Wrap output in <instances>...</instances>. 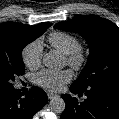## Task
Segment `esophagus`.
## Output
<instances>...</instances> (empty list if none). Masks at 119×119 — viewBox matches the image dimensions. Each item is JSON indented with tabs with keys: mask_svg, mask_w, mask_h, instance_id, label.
I'll return each instance as SVG.
<instances>
[{
	"mask_svg": "<svg viewBox=\"0 0 119 119\" xmlns=\"http://www.w3.org/2000/svg\"><path fill=\"white\" fill-rule=\"evenodd\" d=\"M47 96H48V98L51 100V99H53V98H55V97H58V95H56V94H54V93H51V92H48L47 93Z\"/></svg>",
	"mask_w": 119,
	"mask_h": 119,
	"instance_id": "obj_1",
	"label": "esophagus"
}]
</instances>
